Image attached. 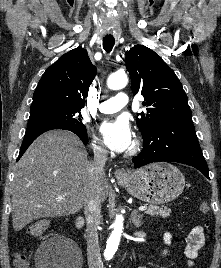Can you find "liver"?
<instances>
[{
    "mask_svg": "<svg viewBox=\"0 0 221 268\" xmlns=\"http://www.w3.org/2000/svg\"><path fill=\"white\" fill-rule=\"evenodd\" d=\"M92 163L77 136L62 130L39 136L15 166L12 221L15 231L43 217L75 214L90 187ZM101 182V202L110 192ZM62 197L61 200L58 198Z\"/></svg>",
    "mask_w": 221,
    "mask_h": 268,
    "instance_id": "6515ba94",
    "label": "liver"
}]
</instances>
